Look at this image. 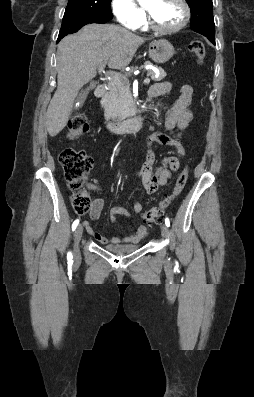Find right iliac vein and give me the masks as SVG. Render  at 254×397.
Returning a JSON list of instances; mask_svg holds the SVG:
<instances>
[{"mask_svg": "<svg viewBox=\"0 0 254 397\" xmlns=\"http://www.w3.org/2000/svg\"><path fill=\"white\" fill-rule=\"evenodd\" d=\"M83 234V226L79 225L76 228V231L74 233V257L79 258L80 256V251H79V242L81 240Z\"/></svg>", "mask_w": 254, "mask_h": 397, "instance_id": "63e3f726", "label": "right iliac vein"}]
</instances>
